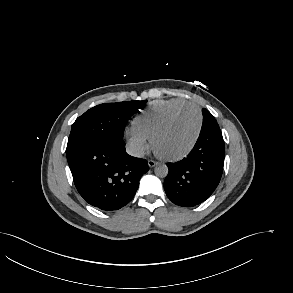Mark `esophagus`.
<instances>
[{
	"instance_id": "1",
	"label": "esophagus",
	"mask_w": 293,
	"mask_h": 293,
	"mask_svg": "<svg viewBox=\"0 0 293 293\" xmlns=\"http://www.w3.org/2000/svg\"><path fill=\"white\" fill-rule=\"evenodd\" d=\"M157 164V162L156 161H154V160H148V165H149V167L150 168H153L155 165Z\"/></svg>"
}]
</instances>
